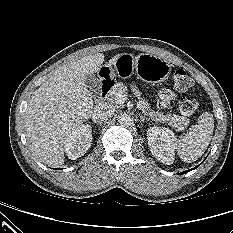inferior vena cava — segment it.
Listing matches in <instances>:
<instances>
[{
    "label": "inferior vena cava",
    "mask_w": 233,
    "mask_h": 233,
    "mask_svg": "<svg viewBox=\"0 0 233 233\" xmlns=\"http://www.w3.org/2000/svg\"><path fill=\"white\" fill-rule=\"evenodd\" d=\"M113 115V109L107 103H100L93 108L91 114L94 123L101 124Z\"/></svg>",
    "instance_id": "602c4592"
}]
</instances>
